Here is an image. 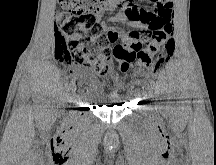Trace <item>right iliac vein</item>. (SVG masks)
<instances>
[{"label":"right iliac vein","instance_id":"63e3f726","mask_svg":"<svg viewBox=\"0 0 216 165\" xmlns=\"http://www.w3.org/2000/svg\"><path fill=\"white\" fill-rule=\"evenodd\" d=\"M77 104V101L76 100H73L71 103L69 102V105L70 106H73V105H76Z\"/></svg>","mask_w":216,"mask_h":165}]
</instances>
